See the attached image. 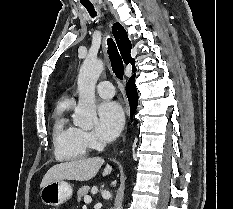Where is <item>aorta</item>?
<instances>
[{
    "instance_id": "aorta-1",
    "label": "aorta",
    "mask_w": 233,
    "mask_h": 209,
    "mask_svg": "<svg viewBox=\"0 0 233 209\" xmlns=\"http://www.w3.org/2000/svg\"><path fill=\"white\" fill-rule=\"evenodd\" d=\"M103 68L104 65L101 60L88 58L84 60L78 74L79 102L75 108L73 123L85 130L93 128L97 119L95 85ZM118 209H122V207Z\"/></svg>"
}]
</instances>
